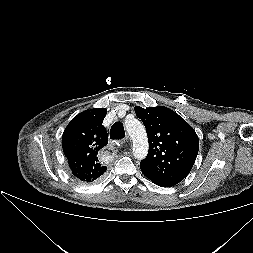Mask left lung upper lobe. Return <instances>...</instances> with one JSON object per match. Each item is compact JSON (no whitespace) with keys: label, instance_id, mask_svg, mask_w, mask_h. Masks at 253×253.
Returning a JSON list of instances; mask_svg holds the SVG:
<instances>
[{"label":"left lung upper lobe","instance_id":"1","mask_svg":"<svg viewBox=\"0 0 253 253\" xmlns=\"http://www.w3.org/2000/svg\"><path fill=\"white\" fill-rule=\"evenodd\" d=\"M146 128L149 152L141 161L143 174L153 182L173 186L191 171L199 150L195 130L176 112L164 107H135Z\"/></svg>","mask_w":253,"mask_h":253}]
</instances>
